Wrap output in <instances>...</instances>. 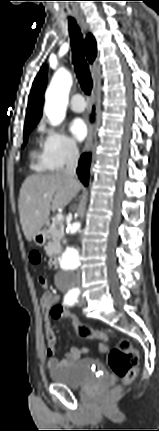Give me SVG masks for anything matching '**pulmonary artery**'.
Returning a JSON list of instances; mask_svg holds the SVG:
<instances>
[{
	"label": "pulmonary artery",
	"mask_w": 159,
	"mask_h": 431,
	"mask_svg": "<svg viewBox=\"0 0 159 431\" xmlns=\"http://www.w3.org/2000/svg\"><path fill=\"white\" fill-rule=\"evenodd\" d=\"M86 103L83 96L80 93H76L71 97L70 108L74 112H82L85 110Z\"/></svg>",
	"instance_id": "1"
}]
</instances>
